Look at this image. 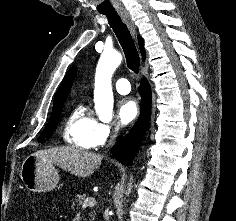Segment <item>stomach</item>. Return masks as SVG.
Instances as JSON below:
<instances>
[{
    "mask_svg": "<svg viewBox=\"0 0 236 221\" xmlns=\"http://www.w3.org/2000/svg\"><path fill=\"white\" fill-rule=\"evenodd\" d=\"M20 177L25 187L33 192L51 191L59 181V174L53 163L36 154L29 155L23 161Z\"/></svg>",
    "mask_w": 236,
    "mask_h": 221,
    "instance_id": "1",
    "label": "stomach"
}]
</instances>
